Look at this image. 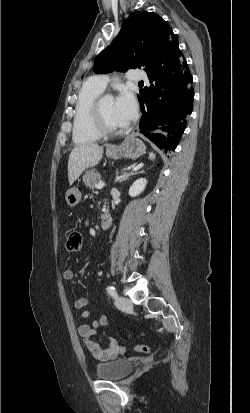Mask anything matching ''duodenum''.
<instances>
[{
  "instance_id": "duodenum-1",
  "label": "duodenum",
  "mask_w": 250,
  "mask_h": 413,
  "mask_svg": "<svg viewBox=\"0 0 250 413\" xmlns=\"http://www.w3.org/2000/svg\"><path fill=\"white\" fill-rule=\"evenodd\" d=\"M112 223V217L110 213L105 212L100 219V227L102 229H107Z\"/></svg>"
}]
</instances>
